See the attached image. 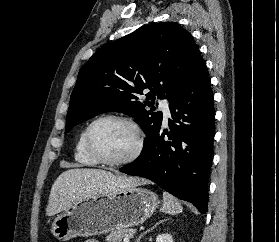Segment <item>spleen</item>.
<instances>
[{
  "mask_svg": "<svg viewBox=\"0 0 279 242\" xmlns=\"http://www.w3.org/2000/svg\"><path fill=\"white\" fill-rule=\"evenodd\" d=\"M161 210L165 213L175 215L182 212L183 208L173 195L168 192H163V205Z\"/></svg>",
  "mask_w": 279,
  "mask_h": 242,
  "instance_id": "obj_1",
  "label": "spleen"
}]
</instances>
